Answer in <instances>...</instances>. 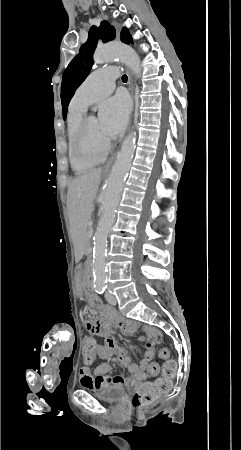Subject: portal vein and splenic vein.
Wrapping results in <instances>:
<instances>
[{
	"mask_svg": "<svg viewBox=\"0 0 241 450\" xmlns=\"http://www.w3.org/2000/svg\"><path fill=\"white\" fill-rule=\"evenodd\" d=\"M92 230H93L92 228H89V235H90V236L93 235V234H92V233H93Z\"/></svg>",
	"mask_w": 241,
	"mask_h": 450,
	"instance_id": "obj_1",
	"label": "portal vein and splenic vein"
}]
</instances>
